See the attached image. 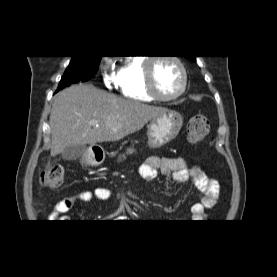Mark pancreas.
<instances>
[{"label": "pancreas", "mask_w": 277, "mask_h": 277, "mask_svg": "<svg viewBox=\"0 0 277 277\" xmlns=\"http://www.w3.org/2000/svg\"><path fill=\"white\" fill-rule=\"evenodd\" d=\"M134 152V149H128L126 154H132ZM123 159H125V155L123 154L122 156H119V161H121Z\"/></svg>", "instance_id": "cf45deb5"}]
</instances>
